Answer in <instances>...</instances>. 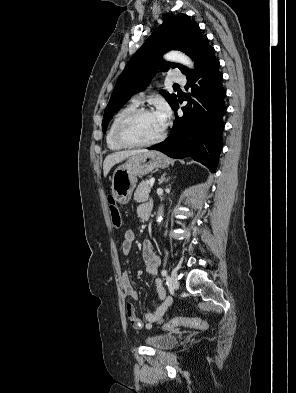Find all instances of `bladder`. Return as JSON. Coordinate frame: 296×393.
I'll return each mask as SVG.
<instances>
[{"mask_svg":"<svg viewBox=\"0 0 296 393\" xmlns=\"http://www.w3.org/2000/svg\"><path fill=\"white\" fill-rule=\"evenodd\" d=\"M145 342L153 348L167 350L177 344V336L173 334L155 335L147 337Z\"/></svg>","mask_w":296,"mask_h":393,"instance_id":"31cf9c89","label":"bladder"}]
</instances>
